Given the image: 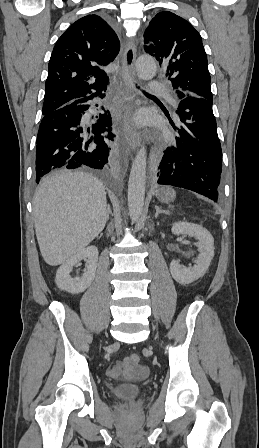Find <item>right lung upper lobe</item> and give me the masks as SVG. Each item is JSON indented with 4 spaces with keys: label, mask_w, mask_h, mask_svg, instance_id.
Masks as SVG:
<instances>
[{
    "label": "right lung upper lobe",
    "mask_w": 259,
    "mask_h": 448,
    "mask_svg": "<svg viewBox=\"0 0 259 448\" xmlns=\"http://www.w3.org/2000/svg\"><path fill=\"white\" fill-rule=\"evenodd\" d=\"M119 50L116 33L100 16L87 15L74 22L53 48L42 113L104 95L109 78L103 68Z\"/></svg>",
    "instance_id": "right-lung-upper-lobe-1"
}]
</instances>
